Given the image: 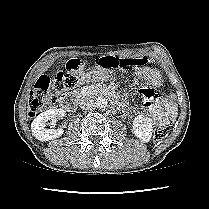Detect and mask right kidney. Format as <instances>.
<instances>
[{
	"instance_id": "obj_1",
	"label": "right kidney",
	"mask_w": 209,
	"mask_h": 209,
	"mask_svg": "<svg viewBox=\"0 0 209 209\" xmlns=\"http://www.w3.org/2000/svg\"><path fill=\"white\" fill-rule=\"evenodd\" d=\"M66 111L63 109H50L39 114L32 122L31 129L34 137L40 141L54 140L62 136L64 130L59 128L47 129L46 126L50 119L54 117L65 116Z\"/></svg>"
}]
</instances>
